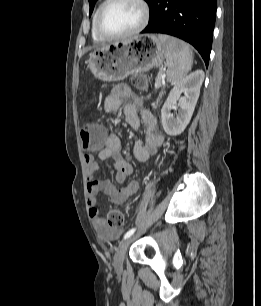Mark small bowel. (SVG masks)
I'll use <instances>...</instances> for the list:
<instances>
[{
    "label": "small bowel",
    "instance_id": "small-bowel-1",
    "mask_svg": "<svg viewBox=\"0 0 261 306\" xmlns=\"http://www.w3.org/2000/svg\"><path fill=\"white\" fill-rule=\"evenodd\" d=\"M126 99H132L133 102L124 105ZM141 104V99L136 96L127 85L120 84L113 88L107 95L103 109L106 113H113L123 106L125 121L132 128L139 129L141 126H144V142L139 140L134 144L133 155L138 162H146L151 155L156 153L158 148L162 145L164 138L158 131L157 121L154 115L146 110H139L138 107ZM120 149V136L116 132H109L105 138L104 147L98 151L97 155H85L88 177L87 192L89 214L99 236L108 241L117 240L122 234V230L110 227L105 223L98 209V193L103 192L114 203L124 204L130 197L136 194L139 189V183L137 181H131L127 185L117 188L111 180L97 179L95 177L99 169L97 158L100 160L112 159L116 170V182L120 184L125 182L126 178L133 172V168L122 156Z\"/></svg>",
    "mask_w": 261,
    "mask_h": 306
}]
</instances>
